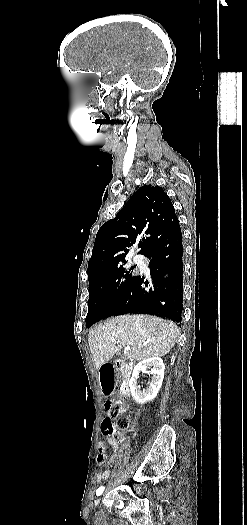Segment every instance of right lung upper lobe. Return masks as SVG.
Instances as JSON below:
<instances>
[{"instance_id": "right-lung-upper-lobe-1", "label": "right lung upper lobe", "mask_w": 247, "mask_h": 525, "mask_svg": "<svg viewBox=\"0 0 247 525\" xmlns=\"http://www.w3.org/2000/svg\"><path fill=\"white\" fill-rule=\"evenodd\" d=\"M178 227L174 206L164 190L159 186H142L117 216L97 232L88 274L122 267L126 262V247L133 245L138 237H143L138 245L143 254L152 243Z\"/></svg>"}]
</instances>
